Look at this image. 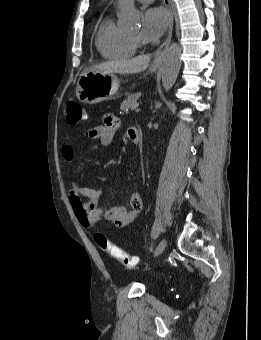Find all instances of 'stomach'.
Masks as SVG:
<instances>
[{"label": "stomach", "instance_id": "obj_1", "mask_svg": "<svg viewBox=\"0 0 261 340\" xmlns=\"http://www.w3.org/2000/svg\"><path fill=\"white\" fill-rule=\"evenodd\" d=\"M160 62H153L152 71H156ZM120 80L113 73L85 71L77 83L76 96L79 101L86 104H95L112 99L118 92Z\"/></svg>", "mask_w": 261, "mask_h": 340}]
</instances>
